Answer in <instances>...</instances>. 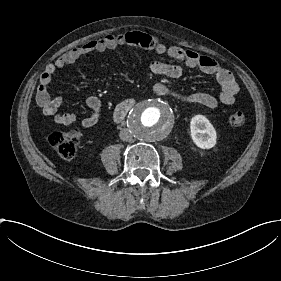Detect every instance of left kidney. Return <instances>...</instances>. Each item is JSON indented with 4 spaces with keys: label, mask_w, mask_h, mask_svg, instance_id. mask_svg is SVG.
<instances>
[{
    "label": "left kidney",
    "mask_w": 281,
    "mask_h": 281,
    "mask_svg": "<svg viewBox=\"0 0 281 281\" xmlns=\"http://www.w3.org/2000/svg\"><path fill=\"white\" fill-rule=\"evenodd\" d=\"M193 142L202 149H210L216 144V131L209 120L203 115H196L190 122Z\"/></svg>",
    "instance_id": "1"
}]
</instances>
